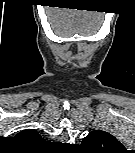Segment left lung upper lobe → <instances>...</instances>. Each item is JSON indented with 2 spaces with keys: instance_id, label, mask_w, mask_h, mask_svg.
Wrapping results in <instances>:
<instances>
[{
  "instance_id": "left-lung-upper-lobe-1",
  "label": "left lung upper lobe",
  "mask_w": 135,
  "mask_h": 153,
  "mask_svg": "<svg viewBox=\"0 0 135 153\" xmlns=\"http://www.w3.org/2000/svg\"><path fill=\"white\" fill-rule=\"evenodd\" d=\"M84 148L97 153H112L124 150L123 145L111 134L102 131H91L81 144Z\"/></svg>"
}]
</instances>
